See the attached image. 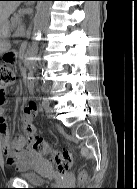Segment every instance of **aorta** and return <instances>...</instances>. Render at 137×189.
Listing matches in <instances>:
<instances>
[{"instance_id": "1", "label": "aorta", "mask_w": 137, "mask_h": 189, "mask_svg": "<svg viewBox=\"0 0 137 189\" xmlns=\"http://www.w3.org/2000/svg\"><path fill=\"white\" fill-rule=\"evenodd\" d=\"M52 1H39L37 5V12L35 16V35L33 38H38L41 36V33L45 30L47 23L49 21L50 11H51ZM35 40V39H34ZM38 50L37 45H32L30 50L31 56H37Z\"/></svg>"}]
</instances>
